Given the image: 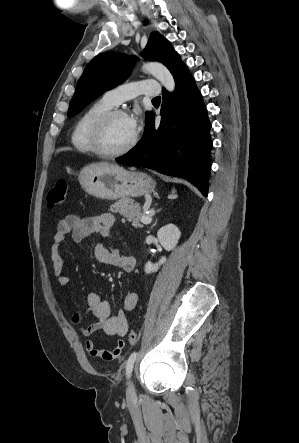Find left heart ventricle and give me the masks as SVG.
<instances>
[{
  "label": "left heart ventricle",
  "mask_w": 299,
  "mask_h": 443,
  "mask_svg": "<svg viewBox=\"0 0 299 443\" xmlns=\"http://www.w3.org/2000/svg\"><path fill=\"white\" fill-rule=\"evenodd\" d=\"M134 133L127 116L115 117L106 128L103 146L108 151L120 150L131 141Z\"/></svg>",
  "instance_id": "obj_1"
}]
</instances>
